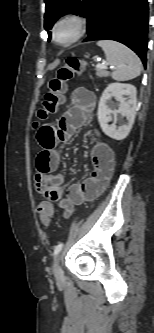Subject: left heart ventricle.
<instances>
[{
    "label": "left heart ventricle",
    "mask_w": 154,
    "mask_h": 333,
    "mask_svg": "<svg viewBox=\"0 0 154 333\" xmlns=\"http://www.w3.org/2000/svg\"><path fill=\"white\" fill-rule=\"evenodd\" d=\"M70 34V29L68 27H63L60 30V38L64 39L67 38Z\"/></svg>",
    "instance_id": "left-heart-ventricle-1"
}]
</instances>
